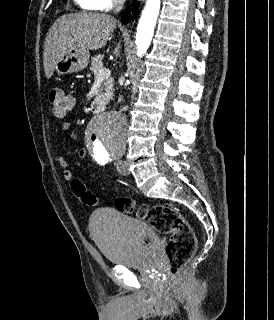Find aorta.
Here are the masks:
<instances>
[{
	"instance_id": "aorta-1",
	"label": "aorta",
	"mask_w": 274,
	"mask_h": 320,
	"mask_svg": "<svg viewBox=\"0 0 274 320\" xmlns=\"http://www.w3.org/2000/svg\"><path fill=\"white\" fill-rule=\"evenodd\" d=\"M160 0H147L137 25V55L142 57L147 52L160 10ZM95 139L92 140V136ZM90 149L96 159L120 155L126 146V120L117 112L98 117L88 129Z\"/></svg>"
}]
</instances>
